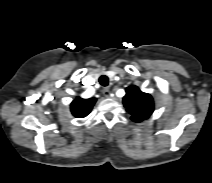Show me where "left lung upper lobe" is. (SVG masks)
<instances>
[{
    "mask_svg": "<svg viewBox=\"0 0 212 183\" xmlns=\"http://www.w3.org/2000/svg\"><path fill=\"white\" fill-rule=\"evenodd\" d=\"M123 104L131 114V119L135 122L148 119L154 110V102L151 95L142 92L134 85L126 89Z\"/></svg>",
    "mask_w": 212,
    "mask_h": 183,
    "instance_id": "5c2ea615",
    "label": "left lung upper lobe"
}]
</instances>
